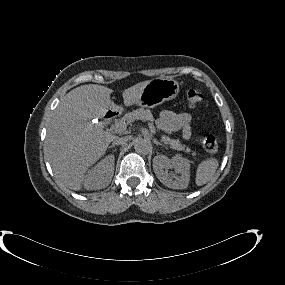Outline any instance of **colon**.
Returning <instances> with one entry per match:
<instances>
[{"instance_id":"colon-1","label":"colon","mask_w":285,"mask_h":285,"mask_svg":"<svg viewBox=\"0 0 285 285\" xmlns=\"http://www.w3.org/2000/svg\"><path fill=\"white\" fill-rule=\"evenodd\" d=\"M186 102L190 107L199 105L203 100V94L192 87H189L185 91ZM203 149L208 153H215L218 150V141L213 135H206L201 139Z\"/></svg>"}]
</instances>
